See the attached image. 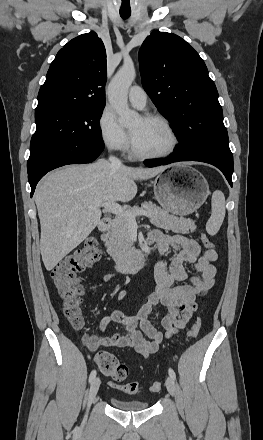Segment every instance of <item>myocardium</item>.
Here are the masks:
<instances>
[{
  "label": "myocardium",
  "instance_id": "obj_1",
  "mask_svg": "<svg viewBox=\"0 0 263 440\" xmlns=\"http://www.w3.org/2000/svg\"><path fill=\"white\" fill-rule=\"evenodd\" d=\"M143 120L146 121H156L161 123L170 133L171 135V144L169 146L168 149H166L165 151L162 152H156V153H145L140 151L134 141L133 138L131 136L130 138V150H131V154L136 157V158H140V159H160V158H166L171 156L178 148L179 143H180V139H179V135L175 129V127L173 126V124L164 116L160 115V114H145L141 117Z\"/></svg>",
  "mask_w": 263,
  "mask_h": 440
}]
</instances>
